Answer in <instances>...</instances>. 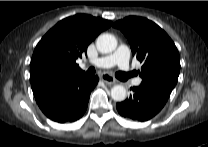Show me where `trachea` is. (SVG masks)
I'll list each match as a JSON object with an SVG mask.
<instances>
[{
  "mask_svg": "<svg viewBox=\"0 0 208 147\" xmlns=\"http://www.w3.org/2000/svg\"><path fill=\"white\" fill-rule=\"evenodd\" d=\"M87 73L90 74V75H94L95 74V68H93V67L89 68V70L87 71ZM116 76L119 77V78H124V77H126L128 75H126V74H124L122 72H117L116 73Z\"/></svg>",
  "mask_w": 208,
  "mask_h": 147,
  "instance_id": "trachea-1",
  "label": "trachea"
}]
</instances>
